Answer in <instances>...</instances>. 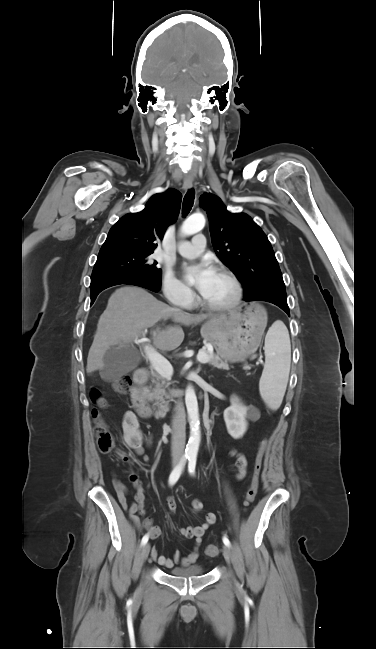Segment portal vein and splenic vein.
<instances>
[{
    "mask_svg": "<svg viewBox=\"0 0 376 649\" xmlns=\"http://www.w3.org/2000/svg\"><path fill=\"white\" fill-rule=\"evenodd\" d=\"M147 333V329L144 330V334ZM146 339L142 338L141 342H145ZM145 353L147 355L148 360L150 361V364L153 366L156 372H158L161 376L170 379L171 376L173 375V368L170 362L165 359L163 356H161L158 352H156L152 347L149 345H145L144 347ZM209 356L204 353V352H199L197 356V360L201 364H206L209 362ZM245 369H249V367H245Z\"/></svg>",
    "mask_w": 376,
    "mask_h": 649,
    "instance_id": "portal-vein-and-splenic-vein-1",
    "label": "portal vein and splenic vein"
}]
</instances>
